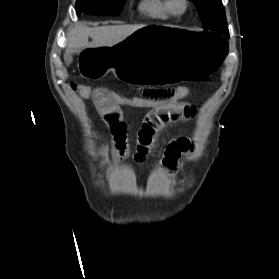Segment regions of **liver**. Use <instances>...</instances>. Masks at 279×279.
I'll return each instance as SVG.
<instances>
[{
  "instance_id": "obj_1",
  "label": "liver",
  "mask_w": 279,
  "mask_h": 279,
  "mask_svg": "<svg viewBox=\"0 0 279 279\" xmlns=\"http://www.w3.org/2000/svg\"><path fill=\"white\" fill-rule=\"evenodd\" d=\"M144 27L146 25H113L90 28L77 24L67 33L65 54L79 53L86 48L114 46ZM89 37L92 38V42H89Z\"/></svg>"
}]
</instances>
